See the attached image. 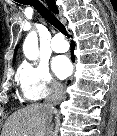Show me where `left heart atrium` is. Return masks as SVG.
<instances>
[{"instance_id": "obj_1", "label": "left heart atrium", "mask_w": 117, "mask_h": 136, "mask_svg": "<svg viewBox=\"0 0 117 136\" xmlns=\"http://www.w3.org/2000/svg\"><path fill=\"white\" fill-rule=\"evenodd\" d=\"M53 69L55 74L63 79L70 74L71 65L65 56L56 57L53 61Z\"/></svg>"}]
</instances>
